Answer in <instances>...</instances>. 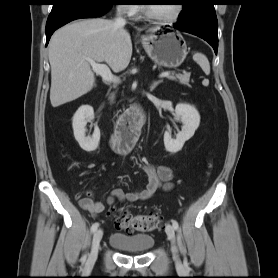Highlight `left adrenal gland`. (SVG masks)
<instances>
[{"mask_svg": "<svg viewBox=\"0 0 278 278\" xmlns=\"http://www.w3.org/2000/svg\"><path fill=\"white\" fill-rule=\"evenodd\" d=\"M162 81H155L151 86H150V91H153Z\"/></svg>", "mask_w": 278, "mask_h": 278, "instance_id": "obj_1", "label": "left adrenal gland"}]
</instances>
